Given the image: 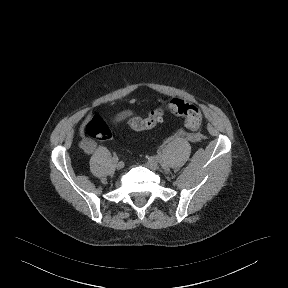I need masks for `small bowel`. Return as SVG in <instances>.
Here are the masks:
<instances>
[{
	"instance_id": "small-bowel-1",
	"label": "small bowel",
	"mask_w": 288,
	"mask_h": 288,
	"mask_svg": "<svg viewBox=\"0 0 288 288\" xmlns=\"http://www.w3.org/2000/svg\"><path fill=\"white\" fill-rule=\"evenodd\" d=\"M84 150L87 152V153H91L94 149V144L93 143H90V142H86L83 146Z\"/></svg>"
}]
</instances>
